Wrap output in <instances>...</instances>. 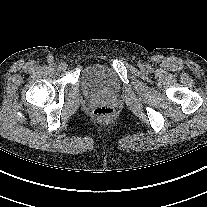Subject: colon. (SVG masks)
Segmentation results:
<instances>
[{"label": "colon", "mask_w": 207, "mask_h": 207, "mask_svg": "<svg viewBox=\"0 0 207 207\" xmlns=\"http://www.w3.org/2000/svg\"><path fill=\"white\" fill-rule=\"evenodd\" d=\"M93 115L100 120H109L114 116V109L107 106H100L94 109Z\"/></svg>", "instance_id": "obj_1"}]
</instances>
